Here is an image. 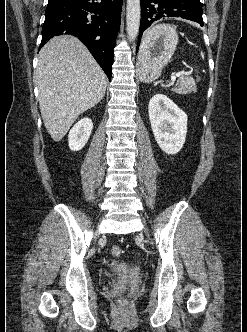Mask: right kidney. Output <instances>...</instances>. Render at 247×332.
Instances as JSON below:
<instances>
[{
    "instance_id": "ca27d5eb",
    "label": "right kidney",
    "mask_w": 247,
    "mask_h": 332,
    "mask_svg": "<svg viewBox=\"0 0 247 332\" xmlns=\"http://www.w3.org/2000/svg\"><path fill=\"white\" fill-rule=\"evenodd\" d=\"M92 129L93 122L90 118H83L78 121L69 132V148L72 151L81 150L86 145Z\"/></svg>"
}]
</instances>
